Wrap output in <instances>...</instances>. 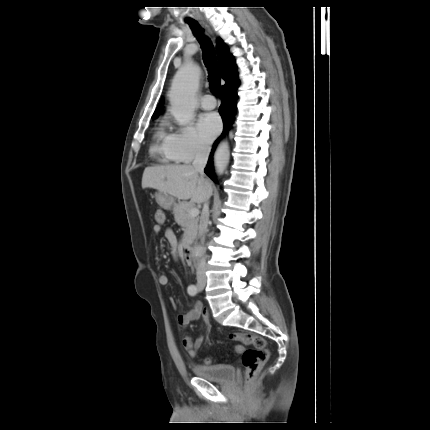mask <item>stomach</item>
<instances>
[{
  "label": "stomach",
  "instance_id": "obj_1",
  "mask_svg": "<svg viewBox=\"0 0 430 430\" xmlns=\"http://www.w3.org/2000/svg\"><path fill=\"white\" fill-rule=\"evenodd\" d=\"M156 201L164 209H171L174 205L172 197L167 196L164 192H158L155 194Z\"/></svg>",
  "mask_w": 430,
  "mask_h": 430
}]
</instances>
